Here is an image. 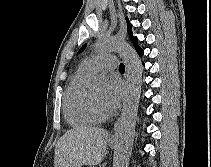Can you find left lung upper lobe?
<instances>
[{
    "mask_svg": "<svg viewBox=\"0 0 211 167\" xmlns=\"http://www.w3.org/2000/svg\"><path fill=\"white\" fill-rule=\"evenodd\" d=\"M126 20H127V30H128L129 36H130L132 42L134 43L135 47H136V48H139V46H137V37H134V36L132 35V26H131V24H130V22H129V19L126 18ZM85 47H86V45L82 46V48L80 49L79 52H81Z\"/></svg>",
    "mask_w": 211,
    "mask_h": 167,
    "instance_id": "left-lung-upper-lobe-1",
    "label": "left lung upper lobe"
}]
</instances>
